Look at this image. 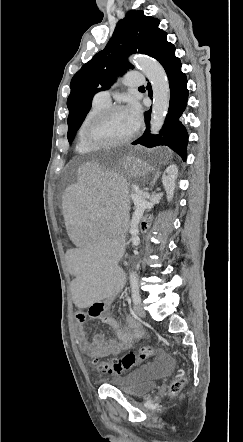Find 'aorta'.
Returning a JSON list of instances; mask_svg holds the SVG:
<instances>
[{"mask_svg":"<svg viewBox=\"0 0 243 442\" xmlns=\"http://www.w3.org/2000/svg\"><path fill=\"white\" fill-rule=\"evenodd\" d=\"M135 64L148 78L152 86L153 106L150 130L152 134H158L164 124L170 103V87L167 74L159 62L148 56L136 57Z\"/></svg>","mask_w":243,"mask_h":442,"instance_id":"762f6f07","label":"aorta"}]
</instances>
